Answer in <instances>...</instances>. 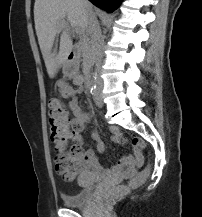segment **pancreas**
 <instances>
[{"label":"pancreas","mask_w":202,"mask_h":217,"mask_svg":"<svg viewBox=\"0 0 202 217\" xmlns=\"http://www.w3.org/2000/svg\"><path fill=\"white\" fill-rule=\"evenodd\" d=\"M79 50L82 53L83 65L87 66L92 60L93 49L87 33H82L79 41Z\"/></svg>","instance_id":"cf45deb5"}]
</instances>
